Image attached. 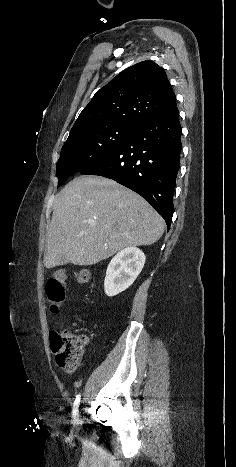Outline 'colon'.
Wrapping results in <instances>:
<instances>
[{
  "label": "colon",
  "mask_w": 236,
  "mask_h": 467,
  "mask_svg": "<svg viewBox=\"0 0 236 467\" xmlns=\"http://www.w3.org/2000/svg\"><path fill=\"white\" fill-rule=\"evenodd\" d=\"M73 275L79 284H85L89 278L88 270L82 268L75 269ZM66 279V272L59 269L46 282L45 294L53 313L58 312L65 301ZM86 343L85 336L68 330L53 332L51 335V347L55 353L56 362L66 372H74L78 368Z\"/></svg>",
  "instance_id": "obj_1"
}]
</instances>
